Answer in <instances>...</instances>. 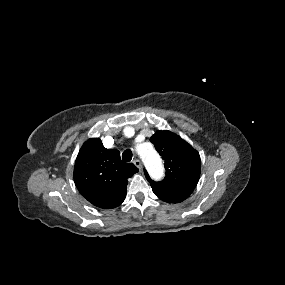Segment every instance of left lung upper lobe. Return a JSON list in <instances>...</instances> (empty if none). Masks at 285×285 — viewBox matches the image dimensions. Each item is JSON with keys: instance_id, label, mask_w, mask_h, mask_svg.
I'll use <instances>...</instances> for the list:
<instances>
[{"instance_id": "1", "label": "left lung upper lobe", "mask_w": 285, "mask_h": 285, "mask_svg": "<svg viewBox=\"0 0 285 285\" xmlns=\"http://www.w3.org/2000/svg\"><path fill=\"white\" fill-rule=\"evenodd\" d=\"M150 141L165 160L166 169V176L161 182L151 180L145 171L151 187L192 193L200 178L199 153L181 137L170 131H157Z\"/></svg>"}]
</instances>
